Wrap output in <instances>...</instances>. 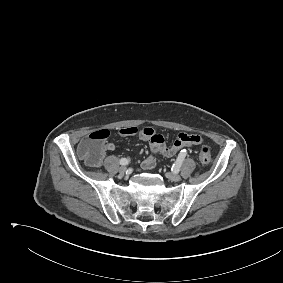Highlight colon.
<instances>
[{
	"label": "colon",
	"mask_w": 283,
	"mask_h": 283,
	"mask_svg": "<svg viewBox=\"0 0 283 283\" xmlns=\"http://www.w3.org/2000/svg\"><path fill=\"white\" fill-rule=\"evenodd\" d=\"M107 130H98L86 136L78 146L79 155L91 166H97L104 155V141L108 138ZM199 160L203 165H208L212 161L211 150L203 145L199 150Z\"/></svg>",
	"instance_id": "1"
}]
</instances>
